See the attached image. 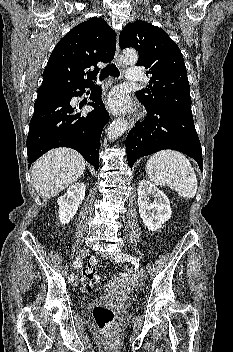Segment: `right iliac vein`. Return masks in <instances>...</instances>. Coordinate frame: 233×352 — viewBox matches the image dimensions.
I'll list each match as a JSON object with an SVG mask.
<instances>
[{"label": "right iliac vein", "mask_w": 233, "mask_h": 352, "mask_svg": "<svg viewBox=\"0 0 233 352\" xmlns=\"http://www.w3.org/2000/svg\"><path fill=\"white\" fill-rule=\"evenodd\" d=\"M90 253V250L89 248H83L81 251H80V254H79V257L80 258H85L89 255ZM80 282V278L77 276L76 279H75V284L78 285Z\"/></svg>", "instance_id": "63e3f726"}]
</instances>
